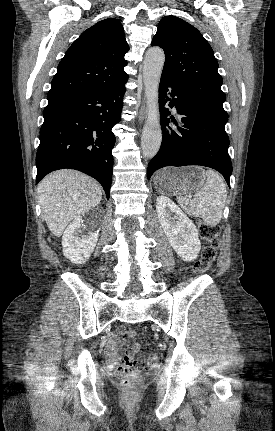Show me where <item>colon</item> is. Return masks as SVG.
Masks as SVG:
<instances>
[{
  "instance_id": "colon-1",
  "label": "colon",
  "mask_w": 275,
  "mask_h": 431,
  "mask_svg": "<svg viewBox=\"0 0 275 431\" xmlns=\"http://www.w3.org/2000/svg\"><path fill=\"white\" fill-rule=\"evenodd\" d=\"M199 234L208 242L204 247L200 260L195 264V272L204 274L214 263L217 255V249L220 245V229L217 226L209 225L203 221L198 223ZM127 337L130 339L137 338V332L129 330ZM133 352H138L140 346L134 344L131 347ZM158 357L155 354H150L147 360L135 359L132 362H124L117 370L118 375L122 378V386L128 392H136L142 387L141 372L146 367H153L157 364Z\"/></svg>"
}]
</instances>
